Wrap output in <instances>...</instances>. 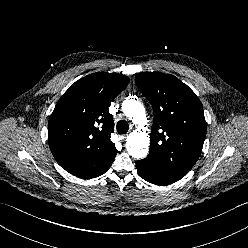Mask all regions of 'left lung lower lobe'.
Here are the masks:
<instances>
[{"label":"left lung lower lobe","instance_id":"left-lung-lower-lobe-1","mask_svg":"<svg viewBox=\"0 0 248 248\" xmlns=\"http://www.w3.org/2000/svg\"><path fill=\"white\" fill-rule=\"evenodd\" d=\"M139 175L146 181L156 185H168L180 178L154 164L149 158L136 162Z\"/></svg>","mask_w":248,"mask_h":248}]
</instances>
